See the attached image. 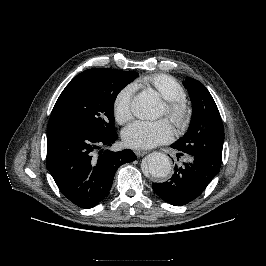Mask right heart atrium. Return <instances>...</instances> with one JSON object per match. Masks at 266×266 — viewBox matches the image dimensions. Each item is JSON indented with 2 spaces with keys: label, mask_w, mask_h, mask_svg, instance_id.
<instances>
[{
  "label": "right heart atrium",
  "mask_w": 266,
  "mask_h": 266,
  "mask_svg": "<svg viewBox=\"0 0 266 266\" xmlns=\"http://www.w3.org/2000/svg\"><path fill=\"white\" fill-rule=\"evenodd\" d=\"M134 87L127 86L121 89L113 101V114L117 122L125 123L132 117V101Z\"/></svg>",
  "instance_id": "1"
}]
</instances>
